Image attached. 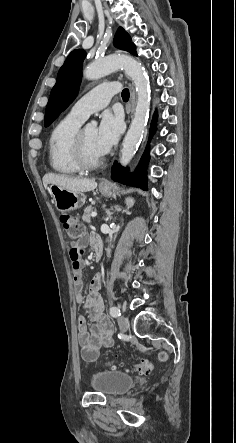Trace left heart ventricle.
Here are the masks:
<instances>
[{
  "mask_svg": "<svg viewBox=\"0 0 236 443\" xmlns=\"http://www.w3.org/2000/svg\"><path fill=\"white\" fill-rule=\"evenodd\" d=\"M96 130L94 126H86L84 128V146L89 158H95L101 155L96 145Z\"/></svg>",
  "mask_w": 236,
  "mask_h": 443,
  "instance_id": "left-heart-ventricle-1",
  "label": "left heart ventricle"
}]
</instances>
